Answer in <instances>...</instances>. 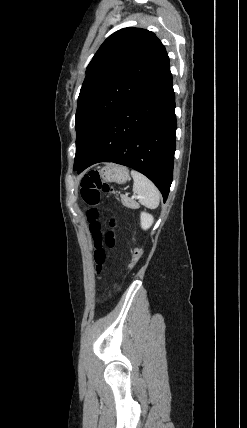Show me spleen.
I'll return each instance as SVG.
<instances>
[{
    "instance_id": "obj_1",
    "label": "spleen",
    "mask_w": 247,
    "mask_h": 428,
    "mask_svg": "<svg viewBox=\"0 0 247 428\" xmlns=\"http://www.w3.org/2000/svg\"><path fill=\"white\" fill-rule=\"evenodd\" d=\"M134 180L133 191L137 194L139 202L149 209H155L160 202V193L157 187L143 174L132 170Z\"/></svg>"
}]
</instances>
